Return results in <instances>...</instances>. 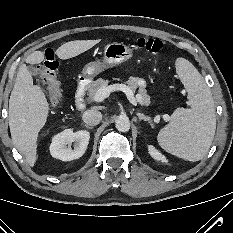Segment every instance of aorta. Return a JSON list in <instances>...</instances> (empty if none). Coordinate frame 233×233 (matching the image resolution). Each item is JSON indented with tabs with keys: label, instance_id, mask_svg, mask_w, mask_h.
<instances>
[{
	"label": "aorta",
	"instance_id": "1",
	"mask_svg": "<svg viewBox=\"0 0 233 233\" xmlns=\"http://www.w3.org/2000/svg\"><path fill=\"white\" fill-rule=\"evenodd\" d=\"M115 126L117 130L127 132L130 129L129 118L126 115H120L115 122Z\"/></svg>",
	"mask_w": 233,
	"mask_h": 233
}]
</instances>
